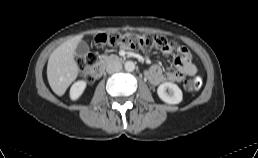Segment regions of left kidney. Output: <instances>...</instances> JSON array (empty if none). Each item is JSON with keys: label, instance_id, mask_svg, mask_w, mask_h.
Here are the masks:
<instances>
[{"label": "left kidney", "instance_id": "obj_1", "mask_svg": "<svg viewBox=\"0 0 258 158\" xmlns=\"http://www.w3.org/2000/svg\"><path fill=\"white\" fill-rule=\"evenodd\" d=\"M168 91V92H167ZM159 98L167 104H179L182 101V91L178 85L165 82L159 85L157 89Z\"/></svg>", "mask_w": 258, "mask_h": 158}]
</instances>
